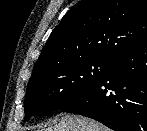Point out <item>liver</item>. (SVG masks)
Wrapping results in <instances>:
<instances>
[{
    "mask_svg": "<svg viewBox=\"0 0 147 131\" xmlns=\"http://www.w3.org/2000/svg\"><path fill=\"white\" fill-rule=\"evenodd\" d=\"M45 131H109L101 123L78 115H64L58 124Z\"/></svg>",
    "mask_w": 147,
    "mask_h": 131,
    "instance_id": "liver-1",
    "label": "liver"
}]
</instances>
